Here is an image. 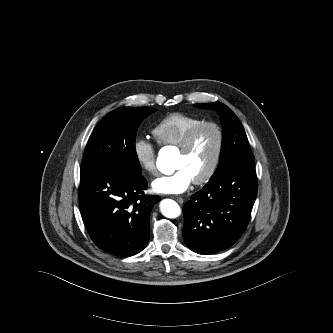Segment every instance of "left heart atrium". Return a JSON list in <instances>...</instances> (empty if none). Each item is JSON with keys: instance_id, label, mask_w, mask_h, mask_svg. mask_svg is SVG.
<instances>
[{"instance_id": "39dd6f15", "label": "left heart atrium", "mask_w": 333, "mask_h": 333, "mask_svg": "<svg viewBox=\"0 0 333 333\" xmlns=\"http://www.w3.org/2000/svg\"><path fill=\"white\" fill-rule=\"evenodd\" d=\"M193 179L189 173L178 168L170 175H164L152 182V189L159 194H181L192 184Z\"/></svg>"}]
</instances>
